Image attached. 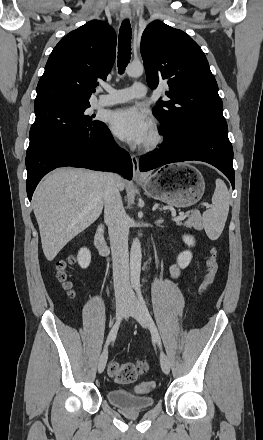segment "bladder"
<instances>
[{
    "instance_id": "31cf9c89",
    "label": "bladder",
    "mask_w": 263,
    "mask_h": 440,
    "mask_svg": "<svg viewBox=\"0 0 263 440\" xmlns=\"http://www.w3.org/2000/svg\"><path fill=\"white\" fill-rule=\"evenodd\" d=\"M107 400L123 411H143L154 405V397L150 394H135L128 389L112 388L106 392Z\"/></svg>"
}]
</instances>
